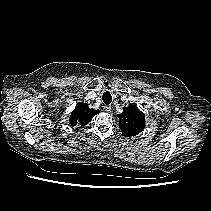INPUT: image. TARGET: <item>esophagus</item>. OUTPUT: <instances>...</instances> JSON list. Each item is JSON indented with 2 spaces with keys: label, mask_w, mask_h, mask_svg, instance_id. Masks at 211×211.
I'll use <instances>...</instances> for the list:
<instances>
[{
  "label": "esophagus",
  "mask_w": 211,
  "mask_h": 211,
  "mask_svg": "<svg viewBox=\"0 0 211 211\" xmlns=\"http://www.w3.org/2000/svg\"><path fill=\"white\" fill-rule=\"evenodd\" d=\"M104 109H105V111L106 112H111V106L110 105H106L105 107H104Z\"/></svg>",
  "instance_id": "34e87169"
}]
</instances>
